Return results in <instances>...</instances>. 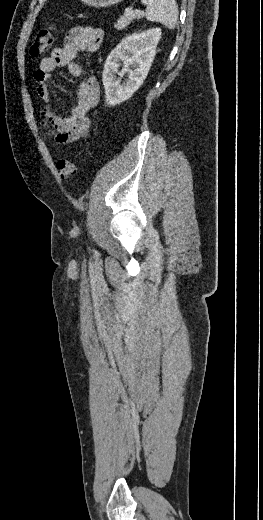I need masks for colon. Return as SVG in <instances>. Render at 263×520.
Instances as JSON below:
<instances>
[{"instance_id": "obj_1", "label": "colon", "mask_w": 263, "mask_h": 520, "mask_svg": "<svg viewBox=\"0 0 263 520\" xmlns=\"http://www.w3.org/2000/svg\"><path fill=\"white\" fill-rule=\"evenodd\" d=\"M55 31L56 26L52 24L49 27L40 30L35 35L32 45L30 47V55L32 57H38L49 50L53 43ZM57 169L60 177L64 180L73 178L77 172L76 165L73 162L66 159L58 161Z\"/></svg>"}]
</instances>
